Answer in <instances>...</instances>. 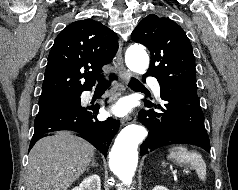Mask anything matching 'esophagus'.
I'll use <instances>...</instances> for the list:
<instances>
[{
	"label": "esophagus",
	"instance_id": "esophagus-1",
	"mask_svg": "<svg viewBox=\"0 0 238 190\" xmlns=\"http://www.w3.org/2000/svg\"><path fill=\"white\" fill-rule=\"evenodd\" d=\"M115 60H116L119 76H120L121 80L123 81V83L127 84L130 77L132 76V74L130 73V71L124 65L123 56H122V42L121 41H119V49H118L117 54L115 56ZM134 122H135L134 118H127V119L123 120L121 123H122V125H127V124H131V123H134Z\"/></svg>",
	"mask_w": 238,
	"mask_h": 190
}]
</instances>
